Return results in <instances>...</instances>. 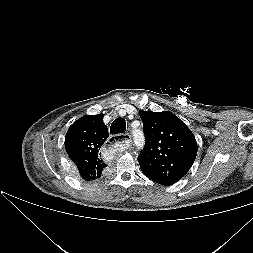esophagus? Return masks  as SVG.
<instances>
[{
	"label": "esophagus",
	"mask_w": 253,
	"mask_h": 253,
	"mask_svg": "<svg viewBox=\"0 0 253 253\" xmlns=\"http://www.w3.org/2000/svg\"><path fill=\"white\" fill-rule=\"evenodd\" d=\"M123 139V143H125L128 147L132 144V135L130 133L124 134Z\"/></svg>",
	"instance_id": "obj_1"
}]
</instances>
